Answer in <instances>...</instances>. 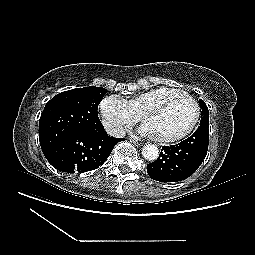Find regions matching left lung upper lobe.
Returning a JSON list of instances; mask_svg holds the SVG:
<instances>
[{"mask_svg": "<svg viewBox=\"0 0 255 255\" xmlns=\"http://www.w3.org/2000/svg\"><path fill=\"white\" fill-rule=\"evenodd\" d=\"M199 103H200V106L202 108L200 125L205 124V123H209L208 108H207L206 104L204 103V101L202 99H199Z\"/></svg>", "mask_w": 255, "mask_h": 255, "instance_id": "1", "label": "left lung upper lobe"}]
</instances>
